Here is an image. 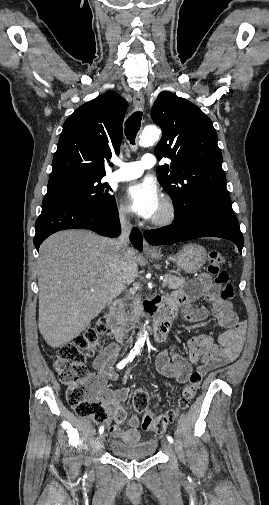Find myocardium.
I'll return each mask as SVG.
<instances>
[{
  "mask_svg": "<svg viewBox=\"0 0 269 505\" xmlns=\"http://www.w3.org/2000/svg\"><path fill=\"white\" fill-rule=\"evenodd\" d=\"M162 212L160 215L152 218L150 221V224L155 227H163L167 226L176 219L177 216V208L174 203V201L168 197L165 196L162 199Z\"/></svg>",
  "mask_w": 269,
  "mask_h": 505,
  "instance_id": "f54148a6",
  "label": "myocardium"
}]
</instances>
